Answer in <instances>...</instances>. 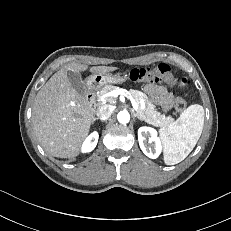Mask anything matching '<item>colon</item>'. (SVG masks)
<instances>
[{"mask_svg":"<svg viewBox=\"0 0 231 231\" xmlns=\"http://www.w3.org/2000/svg\"><path fill=\"white\" fill-rule=\"evenodd\" d=\"M130 80L138 83H155L164 81L170 85L183 88L187 84L186 78H176L170 66L167 64H159L151 67L134 68L128 73ZM187 107V102L183 98H177L174 104V111L176 113L183 112Z\"/></svg>","mask_w":231,"mask_h":231,"instance_id":"1","label":"colon"}]
</instances>
